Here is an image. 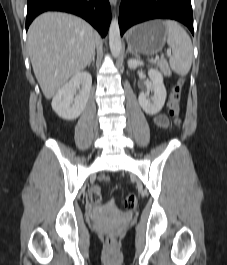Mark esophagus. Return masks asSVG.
<instances>
[{
    "label": "esophagus",
    "instance_id": "1",
    "mask_svg": "<svg viewBox=\"0 0 227 265\" xmlns=\"http://www.w3.org/2000/svg\"><path fill=\"white\" fill-rule=\"evenodd\" d=\"M109 2L113 7L117 5V0H109Z\"/></svg>",
    "mask_w": 227,
    "mask_h": 265
}]
</instances>
